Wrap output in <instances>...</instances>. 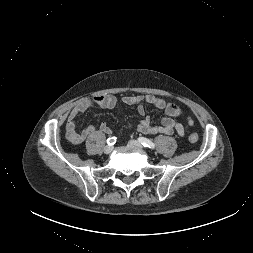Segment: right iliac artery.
<instances>
[{"label":"right iliac artery","mask_w":253,"mask_h":253,"mask_svg":"<svg viewBox=\"0 0 253 253\" xmlns=\"http://www.w3.org/2000/svg\"><path fill=\"white\" fill-rule=\"evenodd\" d=\"M108 145H114L116 143V137H110L107 139Z\"/></svg>","instance_id":"1"}]
</instances>
